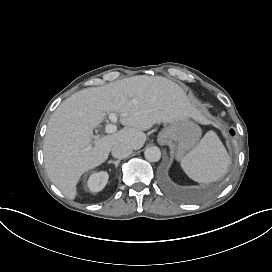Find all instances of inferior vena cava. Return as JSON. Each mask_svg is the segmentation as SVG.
I'll list each match as a JSON object with an SVG mask.
<instances>
[{"mask_svg": "<svg viewBox=\"0 0 272 272\" xmlns=\"http://www.w3.org/2000/svg\"><path fill=\"white\" fill-rule=\"evenodd\" d=\"M132 151L133 149L131 146L124 143H118L112 148V156L117 159H123L128 157Z\"/></svg>", "mask_w": 272, "mask_h": 272, "instance_id": "obj_1", "label": "inferior vena cava"}]
</instances>
